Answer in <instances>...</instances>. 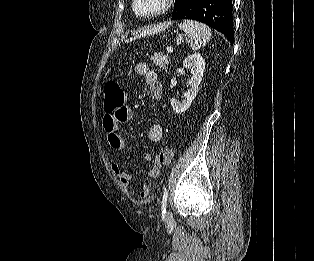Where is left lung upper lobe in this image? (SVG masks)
<instances>
[{"label":"left lung upper lobe","instance_id":"1","mask_svg":"<svg viewBox=\"0 0 314 261\" xmlns=\"http://www.w3.org/2000/svg\"><path fill=\"white\" fill-rule=\"evenodd\" d=\"M183 2L184 0H175L174 11H173L174 13L180 8Z\"/></svg>","mask_w":314,"mask_h":261}]
</instances>
